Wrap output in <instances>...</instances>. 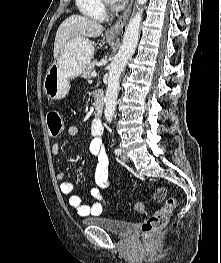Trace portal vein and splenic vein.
Masks as SVG:
<instances>
[{
    "instance_id": "obj_1",
    "label": "portal vein and splenic vein",
    "mask_w": 221,
    "mask_h": 263,
    "mask_svg": "<svg viewBox=\"0 0 221 263\" xmlns=\"http://www.w3.org/2000/svg\"><path fill=\"white\" fill-rule=\"evenodd\" d=\"M96 75H97L96 72H93V73L91 74L92 77H96Z\"/></svg>"
}]
</instances>
